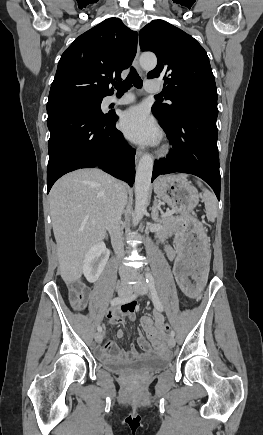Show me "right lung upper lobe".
Returning a JSON list of instances; mask_svg holds the SVG:
<instances>
[{"mask_svg": "<svg viewBox=\"0 0 263 435\" xmlns=\"http://www.w3.org/2000/svg\"><path fill=\"white\" fill-rule=\"evenodd\" d=\"M137 38L119 18H109L80 35L59 60L47 106L113 94L109 83L120 81L122 70L131 65Z\"/></svg>", "mask_w": 263, "mask_h": 435, "instance_id": "1", "label": "right lung upper lobe"}]
</instances>
